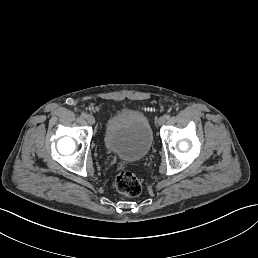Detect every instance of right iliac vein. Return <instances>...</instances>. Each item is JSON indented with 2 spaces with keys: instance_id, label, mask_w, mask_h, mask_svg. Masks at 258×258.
Instances as JSON below:
<instances>
[{
  "instance_id": "1",
  "label": "right iliac vein",
  "mask_w": 258,
  "mask_h": 258,
  "mask_svg": "<svg viewBox=\"0 0 258 258\" xmlns=\"http://www.w3.org/2000/svg\"><path fill=\"white\" fill-rule=\"evenodd\" d=\"M86 120H87L89 125H91V124L93 125L96 122L94 116L91 115V114L87 116Z\"/></svg>"
}]
</instances>
